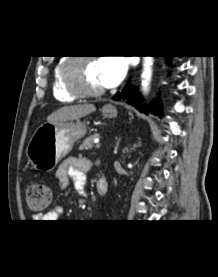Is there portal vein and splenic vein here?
Returning a JSON list of instances; mask_svg holds the SVG:
<instances>
[{"label": "portal vein and splenic vein", "instance_id": "1", "mask_svg": "<svg viewBox=\"0 0 218 277\" xmlns=\"http://www.w3.org/2000/svg\"><path fill=\"white\" fill-rule=\"evenodd\" d=\"M95 143H96V146H95L96 148H100L101 147V144L99 143L98 139L95 140Z\"/></svg>", "mask_w": 218, "mask_h": 277}]
</instances>
